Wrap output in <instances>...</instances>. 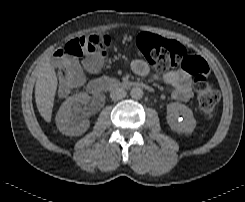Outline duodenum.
<instances>
[{"label": "duodenum", "instance_id": "410a0bca", "mask_svg": "<svg viewBox=\"0 0 245 202\" xmlns=\"http://www.w3.org/2000/svg\"><path fill=\"white\" fill-rule=\"evenodd\" d=\"M133 88H141L147 91H151V87L144 82H138V81L120 82L108 77L96 78L90 81L88 84V91L94 97L108 90H121V89H133Z\"/></svg>", "mask_w": 245, "mask_h": 202}]
</instances>
